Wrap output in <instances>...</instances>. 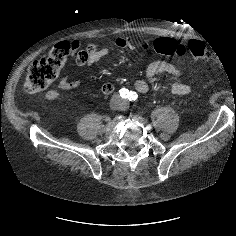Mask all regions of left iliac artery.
<instances>
[{"label": "left iliac artery", "mask_w": 236, "mask_h": 236, "mask_svg": "<svg viewBox=\"0 0 236 236\" xmlns=\"http://www.w3.org/2000/svg\"><path fill=\"white\" fill-rule=\"evenodd\" d=\"M137 98H138V95H137L136 92L131 91V92L129 93V95H128V99H129L130 101H135Z\"/></svg>", "instance_id": "1"}]
</instances>
